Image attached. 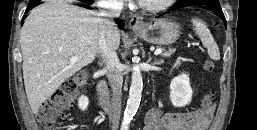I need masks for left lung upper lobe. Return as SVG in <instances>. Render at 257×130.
<instances>
[{
	"mask_svg": "<svg viewBox=\"0 0 257 130\" xmlns=\"http://www.w3.org/2000/svg\"><path fill=\"white\" fill-rule=\"evenodd\" d=\"M199 0H177L175 5H186V4H199Z\"/></svg>",
	"mask_w": 257,
	"mask_h": 130,
	"instance_id": "obj_1",
	"label": "left lung upper lobe"
}]
</instances>
